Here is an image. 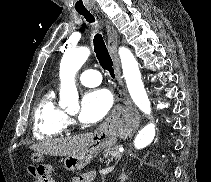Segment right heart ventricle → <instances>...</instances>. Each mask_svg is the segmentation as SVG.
I'll return each instance as SVG.
<instances>
[{
  "label": "right heart ventricle",
  "instance_id": "right-heart-ventricle-1",
  "mask_svg": "<svg viewBox=\"0 0 211 182\" xmlns=\"http://www.w3.org/2000/svg\"><path fill=\"white\" fill-rule=\"evenodd\" d=\"M69 119L58 105L54 91L46 92L39 100L33 123V135L37 140H50L67 131Z\"/></svg>",
  "mask_w": 211,
  "mask_h": 182
}]
</instances>
